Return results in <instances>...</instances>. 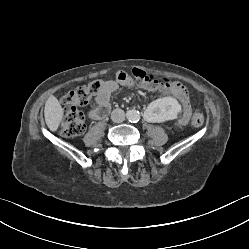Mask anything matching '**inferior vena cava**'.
Segmentation results:
<instances>
[{
    "mask_svg": "<svg viewBox=\"0 0 249 249\" xmlns=\"http://www.w3.org/2000/svg\"><path fill=\"white\" fill-rule=\"evenodd\" d=\"M111 119L115 123H121L125 120V112L120 108L114 109L111 113Z\"/></svg>",
    "mask_w": 249,
    "mask_h": 249,
    "instance_id": "inferior-vena-cava-1",
    "label": "inferior vena cava"
}]
</instances>
